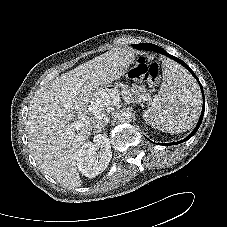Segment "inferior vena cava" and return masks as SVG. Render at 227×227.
Returning a JSON list of instances; mask_svg holds the SVG:
<instances>
[{
	"mask_svg": "<svg viewBox=\"0 0 227 227\" xmlns=\"http://www.w3.org/2000/svg\"><path fill=\"white\" fill-rule=\"evenodd\" d=\"M109 120H110V117L107 114L105 113L99 114L94 118L92 122V128L96 132H100L102 129H104L105 125H107Z\"/></svg>",
	"mask_w": 227,
	"mask_h": 227,
	"instance_id": "obj_1",
	"label": "inferior vena cava"
}]
</instances>
